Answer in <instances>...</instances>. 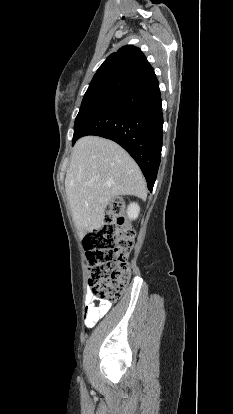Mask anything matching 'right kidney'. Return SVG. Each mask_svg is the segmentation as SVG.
I'll return each instance as SVG.
<instances>
[{
  "label": "right kidney",
  "instance_id": "ca27d5eb",
  "mask_svg": "<svg viewBox=\"0 0 233 414\" xmlns=\"http://www.w3.org/2000/svg\"><path fill=\"white\" fill-rule=\"evenodd\" d=\"M140 207L137 203H130L127 209V215L130 219H136L139 215Z\"/></svg>",
  "mask_w": 233,
  "mask_h": 414
}]
</instances>
